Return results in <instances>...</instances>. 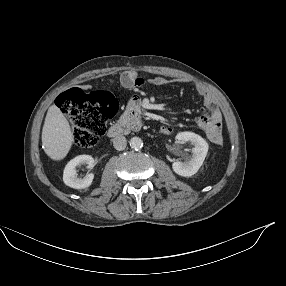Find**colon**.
<instances>
[{
	"mask_svg": "<svg viewBox=\"0 0 286 286\" xmlns=\"http://www.w3.org/2000/svg\"><path fill=\"white\" fill-rule=\"evenodd\" d=\"M56 101L58 108L70 119L74 144L82 149L97 143L118 109L113 95L106 92L87 94L76 88L62 92ZM203 137L210 144H221L224 130L219 124L210 123L204 128Z\"/></svg>",
	"mask_w": 286,
	"mask_h": 286,
	"instance_id": "5ec220e1",
	"label": "colon"
}]
</instances>
